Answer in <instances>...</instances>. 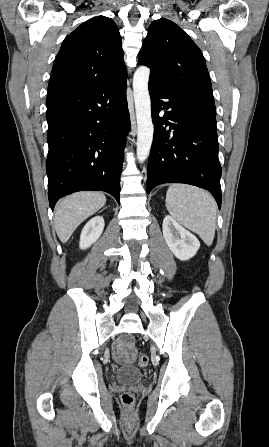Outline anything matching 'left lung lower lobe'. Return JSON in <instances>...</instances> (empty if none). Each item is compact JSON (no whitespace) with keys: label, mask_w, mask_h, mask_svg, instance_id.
Masks as SVG:
<instances>
[{"label":"left lung lower lobe","mask_w":269,"mask_h":447,"mask_svg":"<svg viewBox=\"0 0 269 447\" xmlns=\"http://www.w3.org/2000/svg\"><path fill=\"white\" fill-rule=\"evenodd\" d=\"M154 138L147 167V193L163 183L208 190L221 208V166L216 117L200 112L186 97L149 81ZM165 111L163 117L159 112Z\"/></svg>","instance_id":"obj_1"}]
</instances>
